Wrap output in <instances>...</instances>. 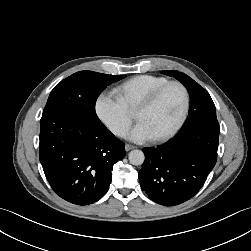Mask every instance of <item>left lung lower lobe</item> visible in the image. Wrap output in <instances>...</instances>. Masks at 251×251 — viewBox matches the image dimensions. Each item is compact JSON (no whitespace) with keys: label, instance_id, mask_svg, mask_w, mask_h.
I'll return each mask as SVG.
<instances>
[{"label":"left lung lower lobe","instance_id":"1","mask_svg":"<svg viewBox=\"0 0 251 251\" xmlns=\"http://www.w3.org/2000/svg\"><path fill=\"white\" fill-rule=\"evenodd\" d=\"M219 133V124H198L181 130L164 145L143 148L142 190L164 206L195 196L216 164Z\"/></svg>","mask_w":251,"mask_h":251}]
</instances>
